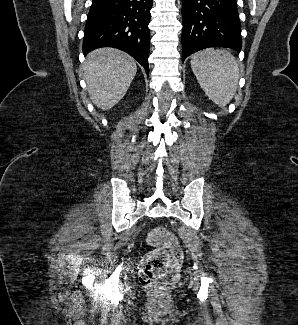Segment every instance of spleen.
<instances>
[{"mask_svg":"<svg viewBox=\"0 0 298 325\" xmlns=\"http://www.w3.org/2000/svg\"><path fill=\"white\" fill-rule=\"evenodd\" d=\"M191 68L205 94L218 104L226 106L233 98L239 66L229 50L206 48L191 56Z\"/></svg>","mask_w":298,"mask_h":325,"instance_id":"obj_1","label":"spleen"}]
</instances>
